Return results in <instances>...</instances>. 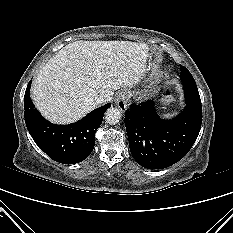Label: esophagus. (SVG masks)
Wrapping results in <instances>:
<instances>
[{
  "mask_svg": "<svg viewBox=\"0 0 233 233\" xmlns=\"http://www.w3.org/2000/svg\"><path fill=\"white\" fill-rule=\"evenodd\" d=\"M129 100V95L126 91H122L119 93L116 99V106L119 108L121 112H124L127 109V103Z\"/></svg>",
  "mask_w": 233,
  "mask_h": 233,
  "instance_id": "34e87169",
  "label": "esophagus"
}]
</instances>
